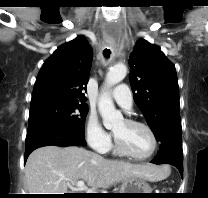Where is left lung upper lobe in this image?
Returning <instances> with one entry per match:
<instances>
[{"instance_id": "obj_1", "label": "left lung upper lobe", "mask_w": 208, "mask_h": 198, "mask_svg": "<svg viewBox=\"0 0 208 198\" xmlns=\"http://www.w3.org/2000/svg\"><path fill=\"white\" fill-rule=\"evenodd\" d=\"M134 100L161 147L182 153L179 88L175 66L161 49L141 39L129 57Z\"/></svg>"}]
</instances>
